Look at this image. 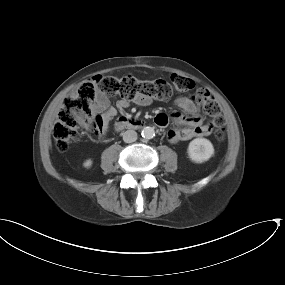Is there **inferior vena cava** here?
I'll return each mask as SVG.
<instances>
[{
  "mask_svg": "<svg viewBox=\"0 0 285 285\" xmlns=\"http://www.w3.org/2000/svg\"><path fill=\"white\" fill-rule=\"evenodd\" d=\"M123 140L126 143H132L137 140V132L134 130H127L123 133Z\"/></svg>",
  "mask_w": 285,
  "mask_h": 285,
  "instance_id": "602c4592",
  "label": "inferior vena cava"
}]
</instances>
